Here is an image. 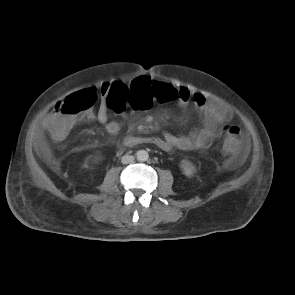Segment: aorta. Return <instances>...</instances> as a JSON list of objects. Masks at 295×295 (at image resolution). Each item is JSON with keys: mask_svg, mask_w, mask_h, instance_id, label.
Returning a JSON list of instances; mask_svg holds the SVG:
<instances>
[{"mask_svg": "<svg viewBox=\"0 0 295 295\" xmlns=\"http://www.w3.org/2000/svg\"><path fill=\"white\" fill-rule=\"evenodd\" d=\"M136 156H137V159L139 161H146L148 160L149 158V154L147 151L145 150H139L137 153H136Z\"/></svg>", "mask_w": 295, "mask_h": 295, "instance_id": "1", "label": "aorta"}]
</instances>
